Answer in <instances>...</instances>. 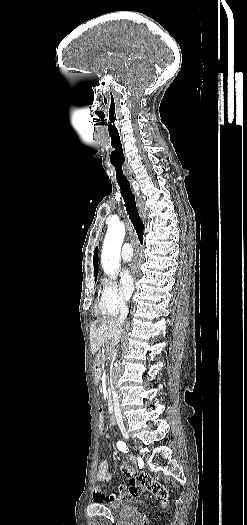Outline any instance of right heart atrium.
Here are the masks:
<instances>
[{
    "label": "right heart atrium",
    "mask_w": 247,
    "mask_h": 525,
    "mask_svg": "<svg viewBox=\"0 0 247 525\" xmlns=\"http://www.w3.org/2000/svg\"><path fill=\"white\" fill-rule=\"evenodd\" d=\"M103 285L100 304L111 313H118L123 310L126 305V297L119 290L116 281L112 278H106Z\"/></svg>",
    "instance_id": "obj_1"
}]
</instances>
